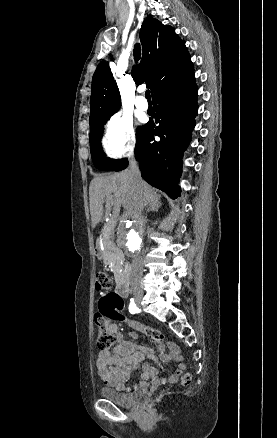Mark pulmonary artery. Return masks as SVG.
Instances as JSON below:
<instances>
[{
  "mask_svg": "<svg viewBox=\"0 0 277 438\" xmlns=\"http://www.w3.org/2000/svg\"><path fill=\"white\" fill-rule=\"evenodd\" d=\"M136 106L139 109L144 110V111L147 110V107H148L146 100L142 97H140L136 100Z\"/></svg>",
  "mask_w": 277,
  "mask_h": 438,
  "instance_id": "obj_1",
  "label": "pulmonary artery"
}]
</instances>
